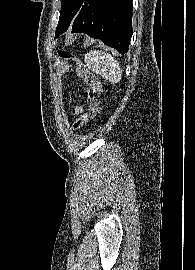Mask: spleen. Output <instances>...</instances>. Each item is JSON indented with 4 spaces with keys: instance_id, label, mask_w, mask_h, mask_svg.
<instances>
[{
    "instance_id": "3e777b00",
    "label": "spleen",
    "mask_w": 195,
    "mask_h": 270,
    "mask_svg": "<svg viewBox=\"0 0 195 270\" xmlns=\"http://www.w3.org/2000/svg\"><path fill=\"white\" fill-rule=\"evenodd\" d=\"M87 68L111 83L122 79V69L119 62L109 53L91 50L85 55Z\"/></svg>"
}]
</instances>
